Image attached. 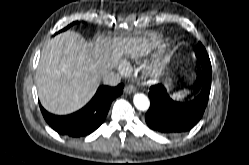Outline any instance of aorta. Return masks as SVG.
<instances>
[{
  "mask_svg": "<svg viewBox=\"0 0 249 165\" xmlns=\"http://www.w3.org/2000/svg\"><path fill=\"white\" fill-rule=\"evenodd\" d=\"M133 102L138 110L145 111L149 108V100L146 95L137 93L134 95Z\"/></svg>",
  "mask_w": 249,
  "mask_h": 165,
  "instance_id": "1",
  "label": "aorta"
}]
</instances>
